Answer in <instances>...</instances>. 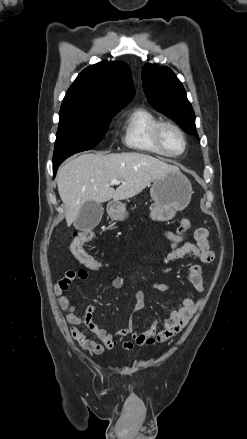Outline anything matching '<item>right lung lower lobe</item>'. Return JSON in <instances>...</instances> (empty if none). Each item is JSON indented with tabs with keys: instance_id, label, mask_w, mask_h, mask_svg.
I'll return each mask as SVG.
<instances>
[{
	"instance_id": "98d812e1",
	"label": "right lung lower lobe",
	"mask_w": 247,
	"mask_h": 439,
	"mask_svg": "<svg viewBox=\"0 0 247 439\" xmlns=\"http://www.w3.org/2000/svg\"><path fill=\"white\" fill-rule=\"evenodd\" d=\"M57 168H58V166H53L54 174H56Z\"/></svg>"
}]
</instances>
